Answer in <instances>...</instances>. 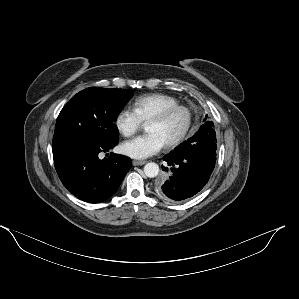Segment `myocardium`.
<instances>
[{
	"label": "myocardium",
	"instance_id": "1",
	"mask_svg": "<svg viewBox=\"0 0 299 299\" xmlns=\"http://www.w3.org/2000/svg\"><path fill=\"white\" fill-rule=\"evenodd\" d=\"M177 112H184L186 114V122L183 128L180 130V132L174 138H172L171 140L165 143L167 147L177 146L187 137L194 120V114L192 109L187 105H182V104L174 105L163 109L148 121V123L149 122L161 123L166 121L169 117H171L173 114Z\"/></svg>",
	"mask_w": 299,
	"mask_h": 299
}]
</instances>
